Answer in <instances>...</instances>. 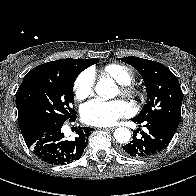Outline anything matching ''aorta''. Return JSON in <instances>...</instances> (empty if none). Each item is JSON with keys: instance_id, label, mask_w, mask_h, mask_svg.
Instances as JSON below:
<instances>
[{"instance_id": "aorta-1", "label": "aorta", "mask_w": 196, "mask_h": 196, "mask_svg": "<svg viewBox=\"0 0 196 196\" xmlns=\"http://www.w3.org/2000/svg\"><path fill=\"white\" fill-rule=\"evenodd\" d=\"M96 94L104 100L114 98L118 94V88L111 78H101L95 87ZM114 137L120 144L127 143L131 138V132L126 127H119L114 131Z\"/></svg>"}]
</instances>
